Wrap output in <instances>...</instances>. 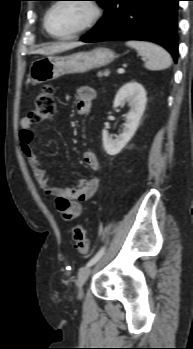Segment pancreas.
<instances>
[{"mask_svg": "<svg viewBox=\"0 0 193 349\" xmlns=\"http://www.w3.org/2000/svg\"><path fill=\"white\" fill-rule=\"evenodd\" d=\"M109 74H110V71H109V70H106V71L103 72V73L99 72V73H98V76H99V77L108 76Z\"/></svg>", "mask_w": 193, "mask_h": 349, "instance_id": "pancreas-1", "label": "pancreas"}]
</instances>
